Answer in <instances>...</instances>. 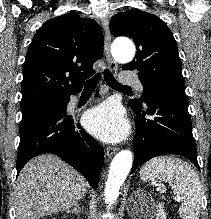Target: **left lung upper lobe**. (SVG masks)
Masks as SVG:
<instances>
[{
	"label": "left lung upper lobe",
	"mask_w": 211,
	"mask_h": 219,
	"mask_svg": "<svg viewBox=\"0 0 211 219\" xmlns=\"http://www.w3.org/2000/svg\"><path fill=\"white\" fill-rule=\"evenodd\" d=\"M110 31L136 43L135 59L122 69L138 71L143 94L153 89H185L176 41L160 18L139 9L124 11L111 18ZM130 106H141V100H130Z\"/></svg>",
	"instance_id": "obj_1"
}]
</instances>
